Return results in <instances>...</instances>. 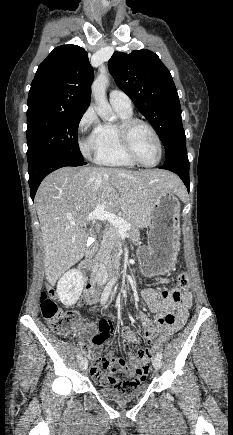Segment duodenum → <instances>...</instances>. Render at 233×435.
I'll return each mask as SVG.
<instances>
[{
    "instance_id": "obj_1",
    "label": "duodenum",
    "mask_w": 233,
    "mask_h": 435,
    "mask_svg": "<svg viewBox=\"0 0 233 435\" xmlns=\"http://www.w3.org/2000/svg\"><path fill=\"white\" fill-rule=\"evenodd\" d=\"M98 244L96 242L92 243L87 251L86 258L80 264L79 269L88 277V282L85 286L84 300L86 303L91 304L100 299L99 292L95 287V279L98 274V269L92 263V256L97 251ZM120 265L114 267L110 272V276H117L121 271Z\"/></svg>"
}]
</instances>
